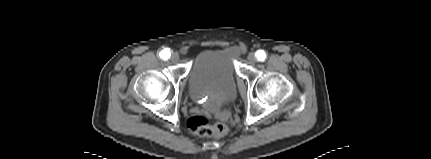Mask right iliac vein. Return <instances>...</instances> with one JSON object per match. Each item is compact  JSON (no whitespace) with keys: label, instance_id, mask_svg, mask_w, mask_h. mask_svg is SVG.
Segmentation results:
<instances>
[{"label":"right iliac vein","instance_id":"1","mask_svg":"<svg viewBox=\"0 0 431 159\" xmlns=\"http://www.w3.org/2000/svg\"><path fill=\"white\" fill-rule=\"evenodd\" d=\"M171 60L173 61V62H177L178 60H179V54L178 53H172V55H171Z\"/></svg>","mask_w":431,"mask_h":159}]
</instances>
